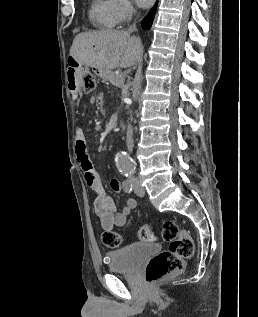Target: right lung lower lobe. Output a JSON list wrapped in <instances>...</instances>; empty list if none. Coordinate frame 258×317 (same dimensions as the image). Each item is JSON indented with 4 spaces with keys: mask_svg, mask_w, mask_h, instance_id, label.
Masks as SVG:
<instances>
[{
    "mask_svg": "<svg viewBox=\"0 0 258 317\" xmlns=\"http://www.w3.org/2000/svg\"><path fill=\"white\" fill-rule=\"evenodd\" d=\"M156 8H157V2L154 5V7L150 10V12L143 19V21H142V28L143 29L149 30L151 28V25L153 23V19L155 16Z\"/></svg>",
    "mask_w": 258,
    "mask_h": 317,
    "instance_id": "1",
    "label": "right lung lower lobe"
}]
</instances>
